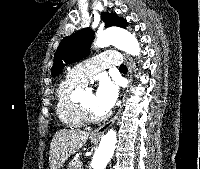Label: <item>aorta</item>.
<instances>
[{"mask_svg": "<svg viewBox=\"0 0 200 169\" xmlns=\"http://www.w3.org/2000/svg\"><path fill=\"white\" fill-rule=\"evenodd\" d=\"M110 45H113L130 55H140V45L135 36L129 32L107 29L97 35L94 43L96 48H104ZM116 142V131L112 129L101 138L99 147L96 149L91 162L93 169L106 168L116 149Z\"/></svg>", "mask_w": 200, "mask_h": 169, "instance_id": "aorta-1", "label": "aorta"}]
</instances>
